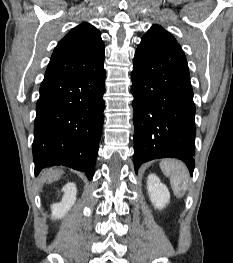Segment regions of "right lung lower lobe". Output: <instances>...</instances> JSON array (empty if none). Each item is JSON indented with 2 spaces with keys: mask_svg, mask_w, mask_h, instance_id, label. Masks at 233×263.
Wrapping results in <instances>:
<instances>
[{
  "mask_svg": "<svg viewBox=\"0 0 233 263\" xmlns=\"http://www.w3.org/2000/svg\"><path fill=\"white\" fill-rule=\"evenodd\" d=\"M104 60L83 76L44 79L34 121L35 174L64 165L92 179L104 121Z\"/></svg>",
  "mask_w": 233,
  "mask_h": 263,
  "instance_id": "1",
  "label": "right lung lower lobe"
}]
</instances>
